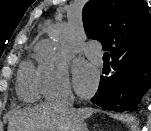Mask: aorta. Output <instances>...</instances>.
Segmentation results:
<instances>
[{"instance_id": "762f6f07", "label": "aorta", "mask_w": 151, "mask_h": 131, "mask_svg": "<svg viewBox=\"0 0 151 131\" xmlns=\"http://www.w3.org/2000/svg\"><path fill=\"white\" fill-rule=\"evenodd\" d=\"M58 35H59L58 33L53 34V38H54V39H57V38H58Z\"/></svg>"}]
</instances>
